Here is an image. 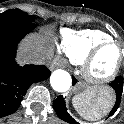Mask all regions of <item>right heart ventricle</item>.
I'll return each instance as SVG.
<instances>
[{"mask_svg":"<svg viewBox=\"0 0 124 124\" xmlns=\"http://www.w3.org/2000/svg\"><path fill=\"white\" fill-rule=\"evenodd\" d=\"M111 39L110 35L99 29H63L57 47L68 61L81 65L97 44Z\"/></svg>","mask_w":124,"mask_h":124,"instance_id":"1","label":"right heart ventricle"}]
</instances>
